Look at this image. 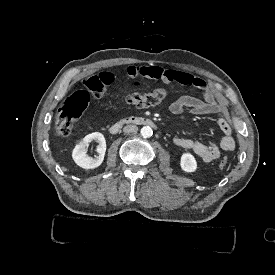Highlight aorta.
Returning <instances> with one entry per match:
<instances>
[{"label": "aorta", "mask_w": 275, "mask_h": 275, "mask_svg": "<svg viewBox=\"0 0 275 275\" xmlns=\"http://www.w3.org/2000/svg\"><path fill=\"white\" fill-rule=\"evenodd\" d=\"M141 135L144 138H149L153 135V130L150 126H144L141 128Z\"/></svg>", "instance_id": "1"}]
</instances>
